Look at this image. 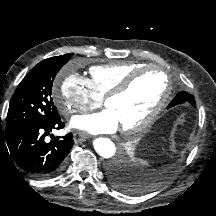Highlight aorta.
I'll return each instance as SVG.
<instances>
[{"mask_svg": "<svg viewBox=\"0 0 216 216\" xmlns=\"http://www.w3.org/2000/svg\"><path fill=\"white\" fill-rule=\"evenodd\" d=\"M95 151L103 158H111L116 153L115 144L108 138L100 137L94 140Z\"/></svg>", "mask_w": 216, "mask_h": 216, "instance_id": "aorta-1", "label": "aorta"}]
</instances>
